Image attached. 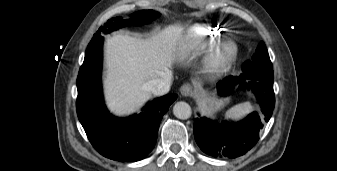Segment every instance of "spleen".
<instances>
[{
	"mask_svg": "<svg viewBox=\"0 0 337 171\" xmlns=\"http://www.w3.org/2000/svg\"><path fill=\"white\" fill-rule=\"evenodd\" d=\"M252 111H253L252 105L249 102H244L230 108L226 112L225 117L227 119L229 118L233 120H239L245 117L247 114L251 113Z\"/></svg>",
	"mask_w": 337,
	"mask_h": 171,
	"instance_id": "spleen-1",
	"label": "spleen"
}]
</instances>
